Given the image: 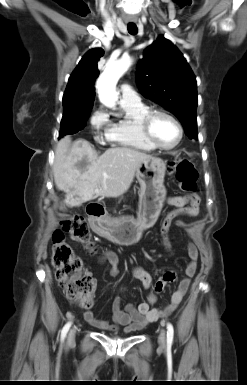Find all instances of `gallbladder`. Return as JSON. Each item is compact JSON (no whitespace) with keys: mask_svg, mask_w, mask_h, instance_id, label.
<instances>
[{"mask_svg":"<svg viewBox=\"0 0 247 385\" xmlns=\"http://www.w3.org/2000/svg\"><path fill=\"white\" fill-rule=\"evenodd\" d=\"M61 209H64V206H63V205H61Z\"/></svg>","mask_w":247,"mask_h":385,"instance_id":"gallbladder-1","label":"gallbladder"}]
</instances>
